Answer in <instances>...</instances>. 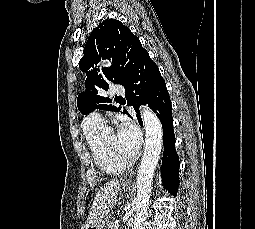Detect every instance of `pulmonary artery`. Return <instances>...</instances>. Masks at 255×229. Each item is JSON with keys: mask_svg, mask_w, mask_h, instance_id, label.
Returning <instances> with one entry per match:
<instances>
[{"mask_svg": "<svg viewBox=\"0 0 255 229\" xmlns=\"http://www.w3.org/2000/svg\"><path fill=\"white\" fill-rule=\"evenodd\" d=\"M124 93V88L119 85H114L112 88L113 95H119ZM84 126L86 127H103L104 121L100 114L98 113H91L84 119Z\"/></svg>", "mask_w": 255, "mask_h": 229, "instance_id": "obj_1", "label": "pulmonary artery"}]
</instances>
